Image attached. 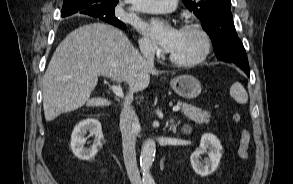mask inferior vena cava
<instances>
[{
	"mask_svg": "<svg viewBox=\"0 0 293 184\" xmlns=\"http://www.w3.org/2000/svg\"><path fill=\"white\" fill-rule=\"evenodd\" d=\"M146 63L154 65V49L149 44L140 45ZM133 95H128L120 115V129L122 132L123 157L131 184H142L136 162V136L139 129V121L135 110L131 106Z\"/></svg>",
	"mask_w": 293,
	"mask_h": 184,
	"instance_id": "inferior-vena-cava-1",
	"label": "inferior vena cava"
}]
</instances>
